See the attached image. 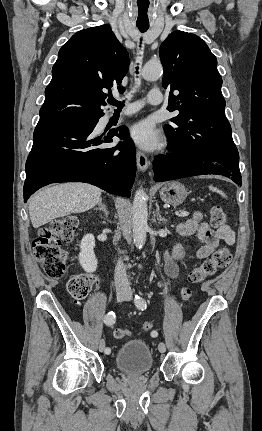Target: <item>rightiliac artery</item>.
<instances>
[{"mask_svg": "<svg viewBox=\"0 0 262 431\" xmlns=\"http://www.w3.org/2000/svg\"><path fill=\"white\" fill-rule=\"evenodd\" d=\"M115 321H116V316L113 311L108 312L104 317V323L107 326H112L115 323ZM105 352L110 353V349L109 348L105 349Z\"/></svg>", "mask_w": 262, "mask_h": 431, "instance_id": "obj_1", "label": "right iliac artery"}]
</instances>
